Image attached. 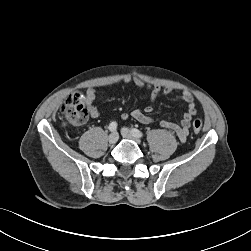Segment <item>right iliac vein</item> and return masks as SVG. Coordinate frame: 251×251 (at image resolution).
I'll return each mask as SVG.
<instances>
[{
    "instance_id": "right-iliac-vein-1",
    "label": "right iliac vein",
    "mask_w": 251,
    "mask_h": 251,
    "mask_svg": "<svg viewBox=\"0 0 251 251\" xmlns=\"http://www.w3.org/2000/svg\"><path fill=\"white\" fill-rule=\"evenodd\" d=\"M119 139L118 133L117 132H113L109 135L108 137V141L110 144H115Z\"/></svg>"
}]
</instances>
